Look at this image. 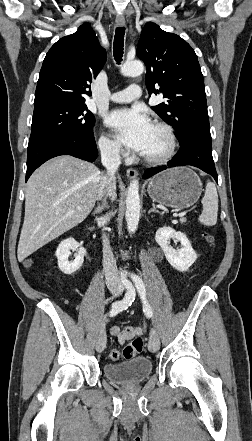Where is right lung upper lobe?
<instances>
[{"instance_id":"obj_1","label":"right lung upper lobe","mask_w":252,"mask_h":441,"mask_svg":"<svg viewBox=\"0 0 252 441\" xmlns=\"http://www.w3.org/2000/svg\"><path fill=\"white\" fill-rule=\"evenodd\" d=\"M106 61V51L89 23L58 40L43 61L34 105L51 101L85 103L90 83Z\"/></svg>"}]
</instances>
